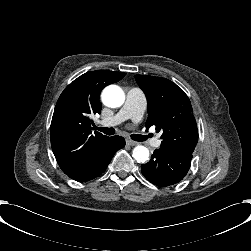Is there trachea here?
Listing matches in <instances>:
<instances>
[{"instance_id": "obj_1", "label": "trachea", "mask_w": 251, "mask_h": 251, "mask_svg": "<svg viewBox=\"0 0 251 251\" xmlns=\"http://www.w3.org/2000/svg\"><path fill=\"white\" fill-rule=\"evenodd\" d=\"M96 130H99L103 133H105L106 135H113L115 134L116 130L114 128H103V127H96ZM130 138L132 140H135V141H145L147 139L146 136H143V135H137V134H131L130 135Z\"/></svg>"}]
</instances>
